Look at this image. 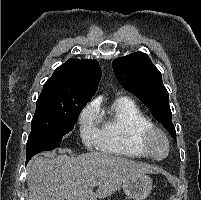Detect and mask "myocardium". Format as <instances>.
<instances>
[{
  "label": "myocardium",
  "instance_id": "1",
  "mask_svg": "<svg viewBox=\"0 0 201 200\" xmlns=\"http://www.w3.org/2000/svg\"><path fill=\"white\" fill-rule=\"evenodd\" d=\"M155 134L162 136L167 145L166 153L164 154V156H162L160 158L155 157L152 153L151 139ZM140 139L147 152V155L151 159L156 160V161H161V160H164L169 155L170 150H171V142H170V139H169L167 133L160 127L153 126V125L149 126L148 128H146L145 130L142 131V133L140 135Z\"/></svg>",
  "mask_w": 201,
  "mask_h": 200
}]
</instances>
